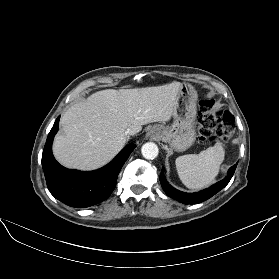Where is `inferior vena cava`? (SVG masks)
Segmentation results:
<instances>
[{"label":"inferior vena cava","instance_id":"1","mask_svg":"<svg viewBox=\"0 0 279 279\" xmlns=\"http://www.w3.org/2000/svg\"><path fill=\"white\" fill-rule=\"evenodd\" d=\"M135 134V132L134 131H132L131 129H128L127 131H126V135H134Z\"/></svg>","mask_w":279,"mask_h":279}]
</instances>
